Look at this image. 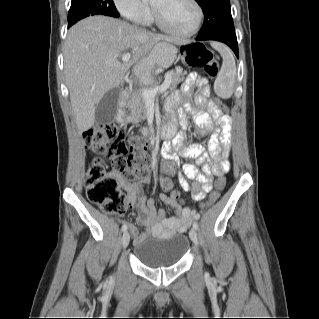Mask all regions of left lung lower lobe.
I'll use <instances>...</instances> for the list:
<instances>
[{"mask_svg": "<svg viewBox=\"0 0 319 319\" xmlns=\"http://www.w3.org/2000/svg\"><path fill=\"white\" fill-rule=\"evenodd\" d=\"M197 40V38H196ZM209 40H216V41H220L223 42L225 44H227L236 54L237 57H239V53H238V46H237V38L236 39H232V38H215V39H209Z\"/></svg>", "mask_w": 319, "mask_h": 319, "instance_id": "0a47b994", "label": "left lung lower lobe"}]
</instances>
